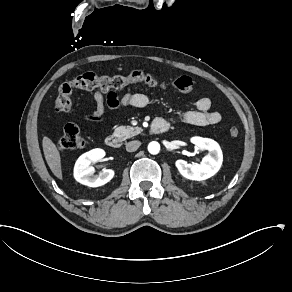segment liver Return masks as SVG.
I'll list each match as a JSON object with an SVG mask.
<instances>
[{
	"label": "liver",
	"instance_id": "6515ba94",
	"mask_svg": "<svg viewBox=\"0 0 292 292\" xmlns=\"http://www.w3.org/2000/svg\"><path fill=\"white\" fill-rule=\"evenodd\" d=\"M42 146L45 159L51 171L57 178L62 179L61 159L56 145L48 137H44Z\"/></svg>",
	"mask_w": 292,
	"mask_h": 292
}]
</instances>
